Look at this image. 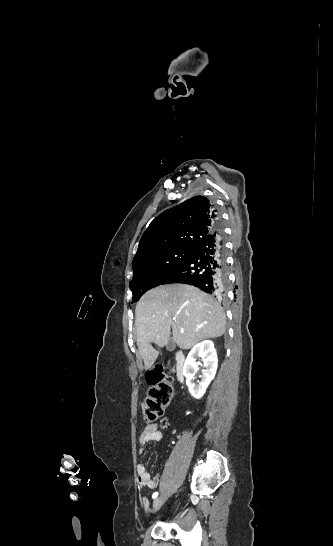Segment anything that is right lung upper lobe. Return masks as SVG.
Returning <instances> with one entry per match:
<instances>
[{"label":"right lung upper lobe","mask_w":333,"mask_h":546,"mask_svg":"<svg viewBox=\"0 0 333 546\" xmlns=\"http://www.w3.org/2000/svg\"><path fill=\"white\" fill-rule=\"evenodd\" d=\"M215 205L204 196H195L157 216L143 233L132 266L163 251L193 247L217 226Z\"/></svg>","instance_id":"right-lung-upper-lobe-1"}]
</instances>
